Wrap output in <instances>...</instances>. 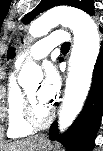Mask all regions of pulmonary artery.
<instances>
[{"instance_id":"1","label":"pulmonary artery","mask_w":103,"mask_h":151,"mask_svg":"<svg viewBox=\"0 0 103 151\" xmlns=\"http://www.w3.org/2000/svg\"><path fill=\"white\" fill-rule=\"evenodd\" d=\"M69 40V35L64 31H55L49 36L37 41L28 50L23 52L17 63L22 64L28 59L39 60L46 57L50 51L59 44H64Z\"/></svg>"}]
</instances>
